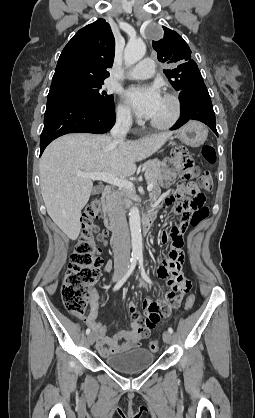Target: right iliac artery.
Wrapping results in <instances>:
<instances>
[{
    "instance_id": "right-iliac-artery-1",
    "label": "right iliac artery",
    "mask_w": 255,
    "mask_h": 418,
    "mask_svg": "<svg viewBox=\"0 0 255 418\" xmlns=\"http://www.w3.org/2000/svg\"><path fill=\"white\" fill-rule=\"evenodd\" d=\"M137 259L138 257L136 256H132L131 258V264L129 266L128 271L126 272V274L116 283V285L114 286L113 290L116 291L118 289L121 288V286L126 282V280L129 278V276L132 274V272L134 271L136 264H137ZM90 333V328L86 329V334L88 335Z\"/></svg>"
}]
</instances>
